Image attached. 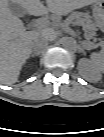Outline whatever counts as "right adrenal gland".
I'll return each mask as SVG.
<instances>
[{
  "mask_svg": "<svg viewBox=\"0 0 104 137\" xmlns=\"http://www.w3.org/2000/svg\"><path fill=\"white\" fill-rule=\"evenodd\" d=\"M40 53L34 52L31 54V57L38 56Z\"/></svg>",
  "mask_w": 104,
  "mask_h": 137,
  "instance_id": "right-adrenal-gland-1",
  "label": "right adrenal gland"
}]
</instances>
